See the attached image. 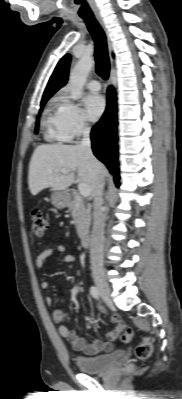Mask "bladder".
Listing matches in <instances>:
<instances>
[{"label": "bladder", "instance_id": "31cf9c89", "mask_svg": "<svg viewBox=\"0 0 182 399\" xmlns=\"http://www.w3.org/2000/svg\"><path fill=\"white\" fill-rule=\"evenodd\" d=\"M124 355V351L115 350L109 354L95 357L76 356L74 358L78 369L87 374L104 373L108 371Z\"/></svg>", "mask_w": 182, "mask_h": 399}]
</instances>
